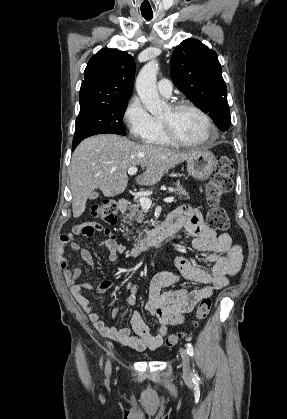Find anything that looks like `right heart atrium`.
<instances>
[{
  "mask_svg": "<svg viewBox=\"0 0 287 419\" xmlns=\"http://www.w3.org/2000/svg\"><path fill=\"white\" fill-rule=\"evenodd\" d=\"M123 121L132 137L144 141L156 129V119L148 112L137 96L132 97L125 108Z\"/></svg>",
  "mask_w": 287,
  "mask_h": 419,
  "instance_id": "1",
  "label": "right heart atrium"
}]
</instances>
